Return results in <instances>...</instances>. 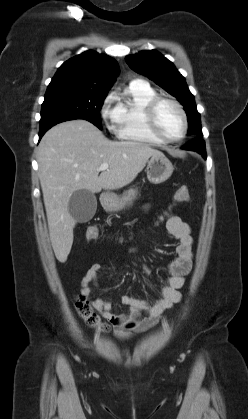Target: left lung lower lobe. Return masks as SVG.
<instances>
[{
    "label": "left lung lower lobe",
    "mask_w": 248,
    "mask_h": 419,
    "mask_svg": "<svg viewBox=\"0 0 248 419\" xmlns=\"http://www.w3.org/2000/svg\"><path fill=\"white\" fill-rule=\"evenodd\" d=\"M182 149L197 151L204 158H206V148H205V143L203 140H200V139L193 140L189 142L188 144L184 145Z\"/></svg>",
    "instance_id": "obj_1"
}]
</instances>
